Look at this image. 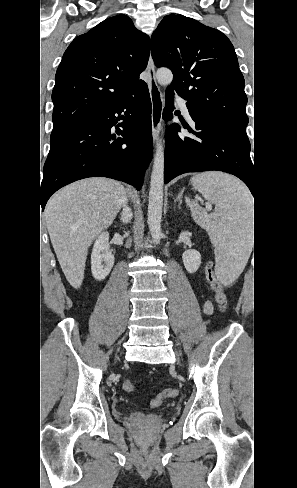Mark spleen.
<instances>
[{"label": "spleen", "instance_id": "obj_1", "mask_svg": "<svg viewBox=\"0 0 297 488\" xmlns=\"http://www.w3.org/2000/svg\"><path fill=\"white\" fill-rule=\"evenodd\" d=\"M191 183L215 205L214 213L208 214L193 201L191 213L215 246L220 281L230 282L241 274L250 256L252 197L238 179L217 171L199 173Z\"/></svg>", "mask_w": 297, "mask_h": 488}]
</instances>
